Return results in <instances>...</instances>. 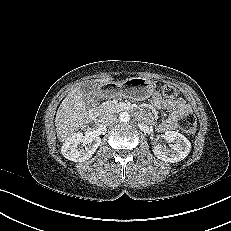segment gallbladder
Listing matches in <instances>:
<instances>
[{
  "label": "gallbladder",
  "mask_w": 231,
  "mask_h": 231,
  "mask_svg": "<svg viewBox=\"0 0 231 231\" xmlns=\"http://www.w3.org/2000/svg\"><path fill=\"white\" fill-rule=\"evenodd\" d=\"M99 88L100 85L96 81H87L81 86L80 91L85 97H91L97 93Z\"/></svg>",
  "instance_id": "gallbladder-1"
}]
</instances>
